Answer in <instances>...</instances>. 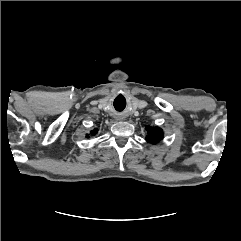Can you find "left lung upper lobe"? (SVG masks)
<instances>
[{
	"mask_svg": "<svg viewBox=\"0 0 241 241\" xmlns=\"http://www.w3.org/2000/svg\"><path fill=\"white\" fill-rule=\"evenodd\" d=\"M146 130L148 132V135L146 136V140L149 143L157 144L158 142H160L163 139L162 129H160L158 127L147 126Z\"/></svg>",
	"mask_w": 241,
	"mask_h": 241,
	"instance_id": "left-lung-upper-lobe-1",
	"label": "left lung upper lobe"
}]
</instances>
